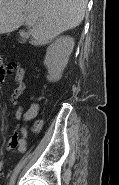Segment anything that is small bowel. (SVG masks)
Listing matches in <instances>:
<instances>
[{
  "label": "small bowel",
  "mask_w": 119,
  "mask_h": 185,
  "mask_svg": "<svg viewBox=\"0 0 119 185\" xmlns=\"http://www.w3.org/2000/svg\"><path fill=\"white\" fill-rule=\"evenodd\" d=\"M15 70V76L14 80L16 83V86L11 93L10 101L13 103L15 109V119L20 120L22 118V109L17 104V100L22 96L24 90H25V70L17 63H1L0 65V83H4L6 80V77L8 75L9 70ZM37 113V107L33 106L28 110V112L24 115L25 121L32 120ZM26 143H27V127L24 126L20 129V132L16 129L14 133L12 134L11 138L8 141V148L10 150L17 149L19 152H24L26 149Z\"/></svg>",
  "instance_id": "c3829d8e"
}]
</instances>
